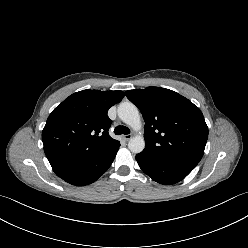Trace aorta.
I'll list each match as a JSON object with an SVG mask.
<instances>
[{
	"mask_svg": "<svg viewBox=\"0 0 248 248\" xmlns=\"http://www.w3.org/2000/svg\"><path fill=\"white\" fill-rule=\"evenodd\" d=\"M118 116L127 125L134 130L141 129V117L137 107L131 102H123L118 106ZM145 147V141L143 136L136 135L132 137L128 142V148L133 153H140Z\"/></svg>",
	"mask_w": 248,
	"mask_h": 248,
	"instance_id": "obj_1",
	"label": "aorta"
}]
</instances>
